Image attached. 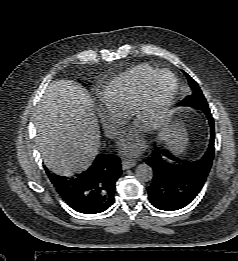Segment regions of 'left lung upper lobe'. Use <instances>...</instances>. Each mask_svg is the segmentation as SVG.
I'll return each mask as SVG.
<instances>
[{"label":"left lung upper lobe","instance_id":"left-lung-upper-lobe-1","mask_svg":"<svg viewBox=\"0 0 238 261\" xmlns=\"http://www.w3.org/2000/svg\"><path fill=\"white\" fill-rule=\"evenodd\" d=\"M185 75L188 78L189 85L192 89V94L187 96L186 98H184L181 101L180 105L194 106L196 108H199L202 106L208 107L207 101H206L204 95L202 94V91H201L199 85L188 74L185 73Z\"/></svg>","mask_w":238,"mask_h":261}]
</instances>
